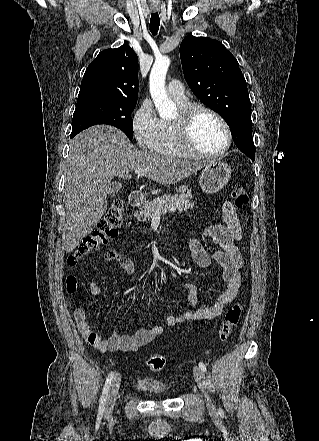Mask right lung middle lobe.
<instances>
[{
    "label": "right lung middle lobe",
    "instance_id": "obj_1",
    "mask_svg": "<svg viewBox=\"0 0 319 441\" xmlns=\"http://www.w3.org/2000/svg\"><path fill=\"white\" fill-rule=\"evenodd\" d=\"M135 105L136 102L126 100L78 99L73 115L71 138L90 126L108 124L121 129L132 140L131 113Z\"/></svg>",
    "mask_w": 319,
    "mask_h": 441
}]
</instances>
